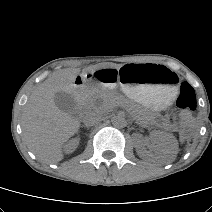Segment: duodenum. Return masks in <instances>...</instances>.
<instances>
[{
  "mask_svg": "<svg viewBox=\"0 0 212 212\" xmlns=\"http://www.w3.org/2000/svg\"><path fill=\"white\" fill-rule=\"evenodd\" d=\"M87 85L88 81L83 78H79V81L75 84L74 94L78 101H80L83 98Z\"/></svg>",
  "mask_w": 212,
  "mask_h": 212,
  "instance_id": "410a0bca",
  "label": "duodenum"
}]
</instances>
